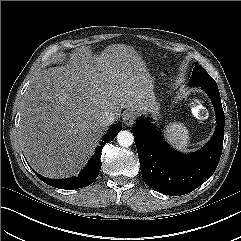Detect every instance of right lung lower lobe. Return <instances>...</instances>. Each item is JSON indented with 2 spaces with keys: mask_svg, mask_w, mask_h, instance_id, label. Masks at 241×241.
<instances>
[{
  "mask_svg": "<svg viewBox=\"0 0 241 241\" xmlns=\"http://www.w3.org/2000/svg\"><path fill=\"white\" fill-rule=\"evenodd\" d=\"M122 125L120 122L111 127L103 136L102 141L97 146L94 155L87 164V166L77 175L69 179H49L45 178L35 172V174L46 184L60 189H77L86 187L94 182L101 169V151L103 146L112 141L116 135L121 131Z\"/></svg>",
  "mask_w": 241,
  "mask_h": 241,
  "instance_id": "98d812e1",
  "label": "right lung lower lobe"
}]
</instances>
